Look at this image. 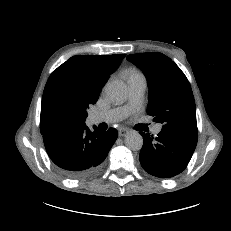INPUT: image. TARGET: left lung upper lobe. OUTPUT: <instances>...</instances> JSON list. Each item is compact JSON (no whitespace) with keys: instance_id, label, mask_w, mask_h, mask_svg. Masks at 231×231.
Listing matches in <instances>:
<instances>
[{"instance_id":"left-lung-upper-lobe-1","label":"left lung upper lobe","mask_w":231,"mask_h":231,"mask_svg":"<svg viewBox=\"0 0 231 231\" xmlns=\"http://www.w3.org/2000/svg\"><path fill=\"white\" fill-rule=\"evenodd\" d=\"M145 74L149 86L147 113L171 129L198 133L191 86L181 69L166 55L141 53L127 56Z\"/></svg>"}]
</instances>
